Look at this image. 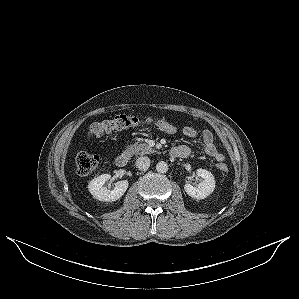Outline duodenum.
Listing matches in <instances>:
<instances>
[{
  "label": "duodenum",
  "instance_id": "410a0bca",
  "mask_svg": "<svg viewBox=\"0 0 299 299\" xmlns=\"http://www.w3.org/2000/svg\"><path fill=\"white\" fill-rule=\"evenodd\" d=\"M188 150L187 148H178L175 147L171 150V155L179 157H187ZM130 159L129 153H122L116 157L115 164L118 168H124L128 165Z\"/></svg>",
  "mask_w": 299,
  "mask_h": 299
}]
</instances>
